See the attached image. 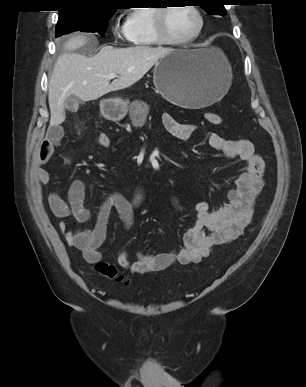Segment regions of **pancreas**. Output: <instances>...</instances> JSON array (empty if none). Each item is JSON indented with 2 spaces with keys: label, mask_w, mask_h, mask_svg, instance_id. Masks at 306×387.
I'll return each instance as SVG.
<instances>
[{
  "label": "pancreas",
  "mask_w": 306,
  "mask_h": 387,
  "mask_svg": "<svg viewBox=\"0 0 306 387\" xmlns=\"http://www.w3.org/2000/svg\"><path fill=\"white\" fill-rule=\"evenodd\" d=\"M133 106H136V105H139L141 106L142 108V115H141V118H142V122L145 120L146 118V113H147V110H148V107H147V104L144 103V102H140V101H135L132 103ZM138 115V112L137 111H132L131 112V117L132 118H135L136 116Z\"/></svg>",
  "instance_id": "cf45deb5"
}]
</instances>
